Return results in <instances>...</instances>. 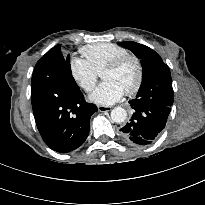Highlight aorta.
<instances>
[{
  "label": "aorta",
  "mask_w": 205,
  "mask_h": 205,
  "mask_svg": "<svg viewBox=\"0 0 205 205\" xmlns=\"http://www.w3.org/2000/svg\"><path fill=\"white\" fill-rule=\"evenodd\" d=\"M111 119L115 123H122L127 118V112L122 107H116L111 111Z\"/></svg>",
  "instance_id": "762f6f07"
}]
</instances>
